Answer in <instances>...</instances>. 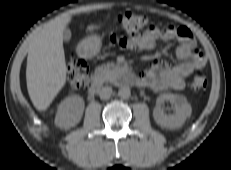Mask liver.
<instances>
[{"mask_svg":"<svg viewBox=\"0 0 231 170\" xmlns=\"http://www.w3.org/2000/svg\"><path fill=\"white\" fill-rule=\"evenodd\" d=\"M71 17H57L33 38L27 57L26 81L34 107L43 111L66 83L63 31Z\"/></svg>","mask_w":231,"mask_h":170,"instance_id":"6515ba94","label":"liver"}]
</instances>
